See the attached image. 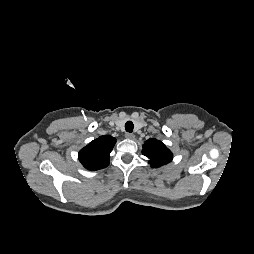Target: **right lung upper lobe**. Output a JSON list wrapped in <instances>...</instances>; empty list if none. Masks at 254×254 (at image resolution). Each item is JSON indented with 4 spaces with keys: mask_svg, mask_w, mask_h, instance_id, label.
Returning <instances> with one entry per match:
<instances>
[{
    "mask_svg": "<svg viewBox=\"0 0 254 254\" xmlns=\"http://www.w3.org/2000/svg\"><path fill=\"white\" fill-rule=\"evenodd\" d=\"M116 139L105 135L90 142L79 152V161L88 170H98L109 165V154L112 151Z\"/></svg>",
    "mask_w": 254,
    "mask_h": 254,
    "instance_id": "right-lung-upper-lobe-1",
    "label": "right lung upper lobe"
}]
</instances>
